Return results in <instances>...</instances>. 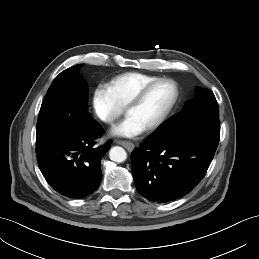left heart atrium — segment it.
<instances>
[{
  "mask_svg": "<svg viewBox=\"0 0 259 259\" xmlns=\"http://www.w3.org/2000/svg\"><path fill=\"white\" fill-rule=\"evenodd\" d=\"M145 128L138 123L132 116L127 115V117L116 125L112 133L117 136L122 137H135L140 135Z\"/></svg>",
  "mask_w": 259,
  "mask_h": 259,
  "instance_id": "1",
  "label": "left heart atrium"
}]
</instances>
